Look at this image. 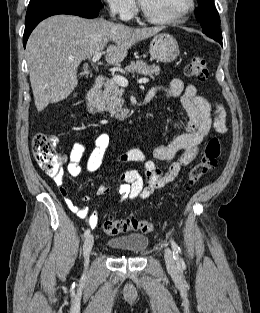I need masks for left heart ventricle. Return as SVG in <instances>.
I'll return each instance as SVG.
<instances>
[{"label":"left heart ventricle","mask_w":260,"mask_h":313,"mask_svg":"<svg viewBox=\"0 0 260 313\" xmlns=\"http://www.w3.org/2000/svg\"><path fill=\"white\" fill-rule=\"evenodd\" d=\"M142 5L154 16L173 17L180 13L188 0H140Z\"/></svg>","instance_id":"left-heart-ventricle-1"}]
</instances>
